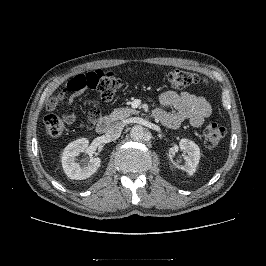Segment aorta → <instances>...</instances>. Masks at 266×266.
Instances as JSON below:
<instances>
[{
  "mask_svg": "<svg viewBox=\"0 0 266 266\" xmlns=\"http://www.w3.org/2000/svg\"><path fill=\"white\" fill-rule=\"evenodd\" d=\"M130 136L134 141L147 140L149 139L148 134L141 125H135L131 128Z\"/></svg>",
  "mask_w": 266,
  "mask_h": 266,
  "instance_id": "obj_1",
  "label": "aorta"
}]
</instances>
